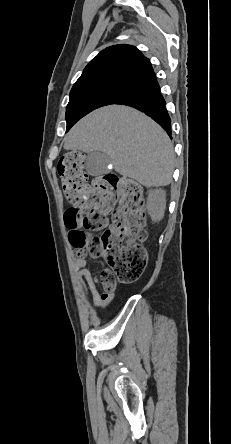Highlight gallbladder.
I'll use <instances>...</instances> for the list:
<instances>
[{
    "mask_svg": "<svg viewBox=\"0 0 231 444\" xmlns=\"http://www.w3.org/2000/svg\"><path fill=\"white\" fill-rule=\"evenodd\" d=\"M111 162L110 157L100 151L88 153L86 158V171L91 176H100L108 172V164Z\"/></svg>",
    "mask_w": 231,
    "mask_h": 444,
    "instance_id": "bac80fb5",
    "label": "gallbladder"
}]
</instances>
